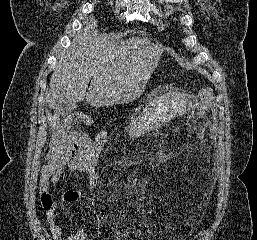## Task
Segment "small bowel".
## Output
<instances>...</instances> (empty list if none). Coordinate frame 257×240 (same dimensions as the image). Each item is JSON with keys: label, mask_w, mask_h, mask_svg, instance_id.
<instances>
[{"label": "small bowel", "mask_w": 257, "mask_h": 240, "mask_svg": "<svg viewBox=\"0 0 257 240\" xmlns=\"http://www.w3.org/2000/svg\"><path fill=\"white\" fill-rule=\"evenodd\" d=\"M108 139L105 130L99 131L94 138L75 129H58L48 142V152L45 156L46 164L40 171L39 185L42 195L49 194L55 184H62L67 173L73 175H86L94 186L97 175L96 165L100 153ZM82 195L80 189H68L63 192L59 201L63 204L77 202ZM93 204V201H92ZM57 205L46 209V218L54 240H96L85 228L64 236L57 223L55 209ZM118 240H132L131 232L124 227L116 230Z\"/></svg>", "instance_id": "c3829d8e"}]
</instances>
